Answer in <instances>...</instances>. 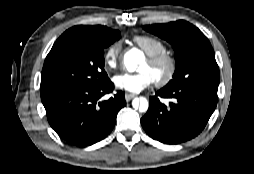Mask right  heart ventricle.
I'll return each instance as SVG.
<instances>
[{"mask_svg": "<svg viewBox=\"0 0 254 174\" xmlns=\"http://www.w3.org/2000/svg\"><path fill=\"white\" fill-rule=\"evenodd\" d=\"M132 41L141 48L147 56L167 51L166 44L159 38L152 35H136Z\"/></svg>", "mask_w": 254, "mask_h": 174, "instance_id": "right-heart-ventricle-1", "label": "right heart ventricle"}]
</instances>
